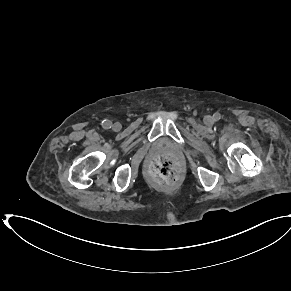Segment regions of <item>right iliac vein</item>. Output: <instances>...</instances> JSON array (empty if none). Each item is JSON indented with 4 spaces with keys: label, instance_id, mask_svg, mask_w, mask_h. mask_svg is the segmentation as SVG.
<instances>
[{
    "label": "right iliac vein",
    "instance_id": "63e3f726",
    "mask_svg": "<svg viewBox=\"0 0 291 291\" xmlns=\"http://www.w3.org/2000/svg\"><path fill=\"white\" fill-rule=\"evenodd\" d=\"M114 131H119L121 129L120 123H114L112 126Z\"/></svg>",
    "mask_w": 291,
    "mask_h": 291
}]
</instances>
